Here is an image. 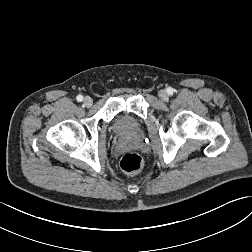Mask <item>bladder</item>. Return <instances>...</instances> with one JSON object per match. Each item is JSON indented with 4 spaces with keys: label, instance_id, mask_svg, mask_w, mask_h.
<instances>
[{
    "label": "bladder",
    "instance_id": "bladder-1",
    "mask_svg": "<svg viewBox=\"0 0 252 252\" xmlns=\"http://www.w3.org/2000/svg\"><path fill=\"white\" fill-rule=\"evenodd\" d=\"M114 130L118 135L129 136L139 132V125L127 116H121L114 125Z\"/></svg>",
    "mask_w": 252,
    "mask_h": 252
}]
</instances>
